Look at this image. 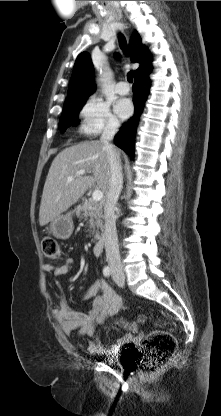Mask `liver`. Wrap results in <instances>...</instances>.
I'll list each match as a JSON object with an SVG mask.
<instances>
[{"mask_svg": "<svg viewBox=\"0 0 221 416\" xmlns=\"http://www.w3.org/2000/svg\"><path fill=\"white\" fill-rule=\"evenodd\" d=\"M117 151L121 154L120 150ZM79 170L93 175L75 176ZM110 175L107 153L99 140L82 142L59 152L51 164L44 184L39 209L40 226L48 224L65 212L95 183L106 194ZM69 176H73L71 181H68Z\"/></svg>", "mask_w": 221, "mask_h": 416, "instance_id": "1", "label": "liver"}]
</instances>
